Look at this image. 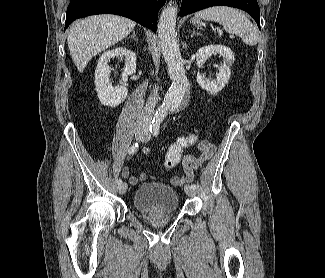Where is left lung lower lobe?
Masks as SVG:
<instances>
[{
    "instance_id": "obj_1",
    "label": "left lung lower lobe",
    "mask_w": 325,
    "mask_h": 278,
    "mask_svg": "<svg viewBox=\"0 0 325 278\" xmlns=\"http://www.w3.org/2000/svg\"><path fill=\"white\" fill-rule=\"evenodd\" d=\"M211 6H230L248 12L260 29V10L257 0H182L180 16H185Z\"/></svg>"
}]
</instances>
